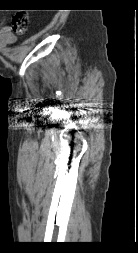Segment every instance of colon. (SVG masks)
Wrapping results in <instances>:
<instances>
[{"instance_id": "1", "label": "colon", "mask_w": 138, "mask_h": 253, "mask_svg": "<svg viewBox=\"0 0 138 253\" xmlns=\"http://www.w3.org/2000/svg\"><path fill=\"white\" fill-rule=\"evenodd\" d=\"M27 27V16L23 13L16 14L12 21V29L15 33H22Z\"/></svg>"}]
</instances>
